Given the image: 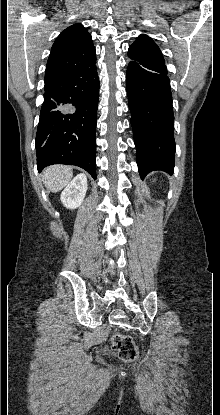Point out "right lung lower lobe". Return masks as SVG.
Returning <instances> with one entry per match:
<instances>
[{
    "mask_svg": "<svg viewBox=\"0 0 220 415\" xmlns=\"http://www.w3.org/2000/svg\"><path fill=\"white\" fill-rule=\"evenodd\" d=\"M95 63L45 82L36 135L39 172L52 164L76 165L96 179L99 77Z\"/></svg>",
    "mask_w": 220,
    "mask_h": 415,
    "instance_id": "obj_1",
    "label": "right lung lower lobe"
}]
</instances>
